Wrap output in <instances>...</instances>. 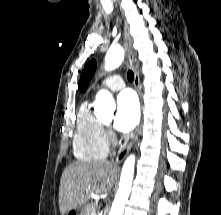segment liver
Returning <instances> with one entry per match:
<instances>
[{"label":"liver","instance_id":"liver-1","mask_svg":"<svg viewBox=\"0 0 221 215\" xmlns=\"http://www.w3.org/2000/svg\"><path fill=\"white\" fill-rule=\"evenodd\" d=\"M117 168L111 162H75L67 166L59 187V210L62 215L82 208L93 193L109 191L115 182Z\"/></svg>","mask_w":221,"mask_h":215}]
</instances>
